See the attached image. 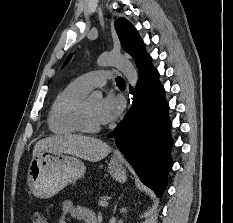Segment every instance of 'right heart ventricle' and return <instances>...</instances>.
I'll use <instances>...</instances> for the list:
<instances>
[{"label":"right heart ventricle","mask_w":233,"mask_h":223,"mask_svg":"<svg viewBox=\"0 0 233 223\" xmlns=\"http://www.w3.org/2000/svg\"><path fill=\"white\" fill-rule=\"evenodd\" d=\"M88 92L78 79L59 92L48 115V127L54 135L72 136L81 133L76 123V112Z\"/></svg>","instance_id":"right-heart-ventricle-1"}]
</instances>
